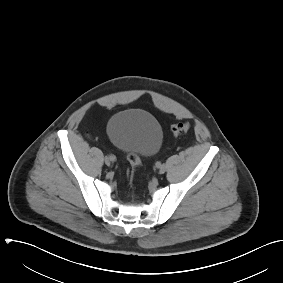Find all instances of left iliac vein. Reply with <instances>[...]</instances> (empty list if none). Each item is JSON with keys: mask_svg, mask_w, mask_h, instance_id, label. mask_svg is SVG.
<instances>
[{"mask_svg": "<svg viewBox=\"0 0 283 283\" xmlns=\"http://www.w3.org/2000/svg\"><path fill=\"white\" fill-rule=\"evenodd\" d=\"M158 169H159V173H160V174H163V173H165V171H166V168H165L164 165L159 166Z\"/></svg>", "mask_w": 283, "mask_h": 283, "instance_id": "4c4485c4", "label": "left iliac vein"}]
</instances>
